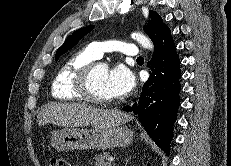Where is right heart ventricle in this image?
<instances>
[{
	"instance_id": "1",
	"label": "right heart ventricle",
	"mask_w": 231,
	"mask_h": 166,
	"mask_svg": "<svg viewBox=\"0 0 231 166\" xmlns=\"http://www.w3.org/2000/svg\"><path fill=\"white\" fill-rule=\"evenodd\" d=\"M89 47L72 54L57 71L51 86L53 98L60 101L83 99L75 88V79L79 70L86 64L97 60Z\"/></svg>"
}]
</instances>
